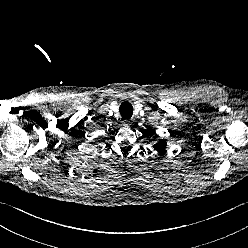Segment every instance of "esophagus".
<instances>
[{"instance_id": "34e87169", "label": "esophagus", "mask_w": 248, "mask_h": 248, "mask_svg": "<svg viewBox=\"0 0 248 248\" xmlns=\"http://www.w3.org/2000/svg\"><path fill=\"white\" fill-rule=\"evenodd\" d=\"M124 125H125L126 127H129V126L131 125V121H130V120H125V121H124Z\"/></svg>"}]
</instances>
